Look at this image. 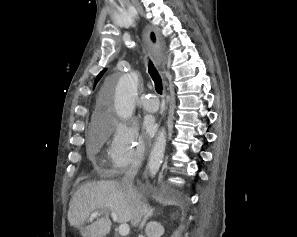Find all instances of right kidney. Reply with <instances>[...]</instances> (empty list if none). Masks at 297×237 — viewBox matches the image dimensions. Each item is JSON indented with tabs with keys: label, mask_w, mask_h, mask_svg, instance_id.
<instances>
[{
	"label": "right kidney",
	"mask_w": 297,
	"mask_h": 237,
	"mask_svg": "<svg viewBox=\"0 0 297 237\" xmlns=\"http://www.w3.org/2000/svg\"><path fill=\"white\" fill-rule=\"evenodd\" d=\"M145 234L147 237H161L164 234V227L156 221H151L146 226Z\"/></svg>",
	"instance_id": "ca27d5eb"
}]
</instances>
